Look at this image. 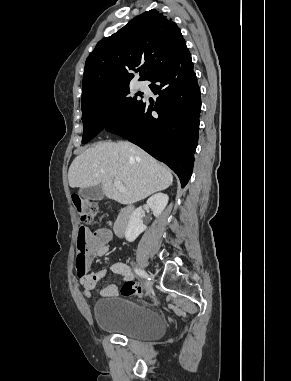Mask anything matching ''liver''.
I'll use <instances>...</instances> for the list:
<instances>
[{
  "label": "liver",
  "instance_id": "obj_1",
  "mask_svg": "<svg viewBox=\"0 0 291 381\" xmlns=\"http://www.w3.org/2000/svg\"><path fill=\"white\" fill-rule=\"evenodd\" d=\"M122 182L125 190L113 181ZM71 188L102 185L107 198L133 204L172 185L171 172L138 146L129 142H103L78 155L70 165Z\"/></svg>",
  "mask_w": 291,
  "mask_h": 381
}]
</instances>
